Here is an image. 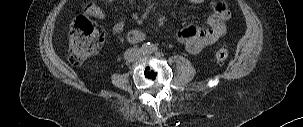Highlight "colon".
<instances>
[{
    "instance_id": "obj_1",
    "label": "colon",
    "mask_w": 303,
    "mask_h": 127,
    "mask_svg": "<svg viewBox=\"0 0 303 127\" xmlns=\"http://www.w3.org/2000/svg\"><path fill=\"white\" fill-rule=\"evenodd\" d=\"M104 35L97 25L87 16L80 14L73 20L69 35V61L72 65H79L94 55L101 47ZM215 59L224 61L228 52L218 48L214 53Z\"/></svg>"
}]
</instances>
